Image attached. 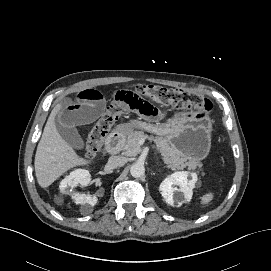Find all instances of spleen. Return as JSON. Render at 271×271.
Instances as JSON below:
<instances>
[{"label":"spleen","mask_w":271,"mask_h":271,"mask_svg":"<svg viewBox=\"0 0 271 271\" xmlns=\"http://www.w3.org/2000/svg\"><path fill=\"white\" fill-rule=\"evenodd\" d=\"M214 198V194L212 192L206 193L202 197H200V205L206 206L211 203Z\"/></svg>","instance_id":"3e777b00"}]
</instances>
